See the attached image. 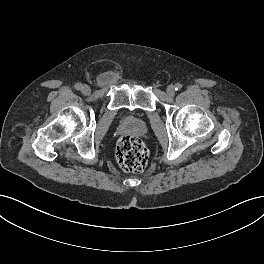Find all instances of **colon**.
I'll use <instances>...</instances> for the list:
<instances>
[{"instance_id":"obj_1","label":"colon","mask_w":264,"mask_h":264,"mask_svg":"<svg viewBox=\"0 0 264 264\" xmlns=\"http://www.w3.org/2000/svg\"><path fill=\"white\" fill-rule=\"evenodd\" d=\"M115 158L119 166L126 172H142L148 162L145 144L136 136L121 137L115 147Z\"/></svg>"}]
</instances>
